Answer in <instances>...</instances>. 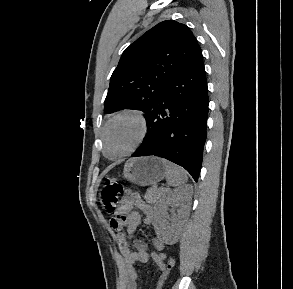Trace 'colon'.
<instances>
[{"label": "colon", "instance_id": "colon-1", "mask_svg": "<svg viewBox=\"0 0 293 289\" xmlns=\"http://www.w3.org/2000/svg\"><path fill=\"white\" fill-rule=\"evenodd\" d=\"M121 189H122L121 185L115 179L113 178L105 179L104 187L102 188L100 193V203L106 213L108 214L115 213L117 202H118V196L121 192ZM111 225L113 226V229L118 230L121 228L122 222L116 218H112ZM174 265H175V258L171 256L162 269L163 276L159 281L157 289H161L166 274H168V272L173 268Z\"/></svg>", "mask_w": 293, "mask_h": 289}]
</instances>
